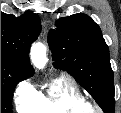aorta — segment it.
<instances>
[{
	"mask_svg": "<svg viewBox=\"0 0 121 113\" xmlns=\"http://www.w3.org/2000/svg\"><path fill=\"white\" fill-rule=\"evenodd\" d=\"M30 57L33 65L38 69H43L47 63L46 47L36 42L32 45Z\"/></svg>",
	"mask_w": 121,
	"mask_h": 113,
	"instance_id": "762f6f07",
	"label": "aorta"
}]
</instances>
